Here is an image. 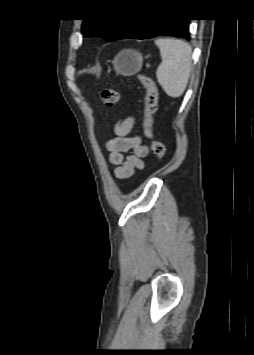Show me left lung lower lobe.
Returning a JSON list of instances; mask_svg holds the SVG:
<instances>
[{
	"label": "left lung lower lobe",
	"instance_id": "left-lung-lower-lobe-1",
	"mask_svg": "<svg viewBox=\"0 0 254 355\" xmlns=\"http://www.w3.org/2000/svg\"><path fill=\"white\" fill-rule=\"evenodd\" d=\"M189 19L132 18L123 33L116 39H146L156 36H175L189 40Z\"/></svg>",
	"mask_w": 254,
	"mask_h": 355
}]
</instances>
